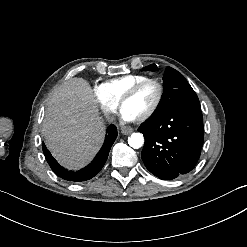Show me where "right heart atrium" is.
I'll return each mask as SVG.
<instances>
[{
  "mask_svg": "<svg viewBox=\"0 0 247 247\" xmlns=\"http://www.w3.org/2000/svg\"><path fill=\"white\" fill-rule=\"evenodd\" d=\"M83 81L85 80L78 79V84ZM94 96L96 97V103L100 106L101 111L105 115L110 114L117 109V105L119 104V101L118 102L112 101L110 99V96L107 94V89L104 86H97L94 89ZM80 98L83 101H89L90 99L93 98V96L91 94L89 97H86V98L80 97Z\"/></svg>",
  "mask_w": 247,
  "mask_h": 247,
  "instance_id": "d8ad5b80",
  "label": "right heart atrium"
}]
</instances>
